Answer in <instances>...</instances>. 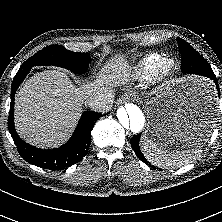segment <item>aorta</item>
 <instances>
[{
	"label": "aorta",
	"mask_w": 222,
	"mask_h": 222,
	"mask_svg": "<svg viewBox=\"0 0 222 222\" xmlns=\"http://www.w3.org/2000/svg\"><path fill=\"white\" fill-rule=\"evenodd\" d=\"M117 119L121 127L131 133L140 132L145 124V116L141 108L135 104L127 103L117 110Z\"/></svg>",
	"instance_id": "aorta-1"
}]
</instances>
